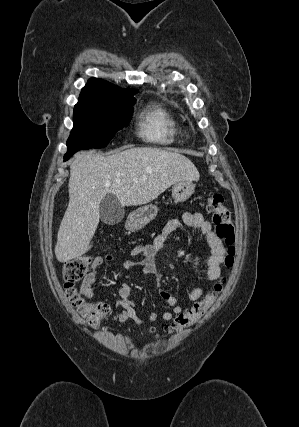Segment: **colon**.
<instances>
[{"label": "colon", "mask_w": 299, "mask_h": 427, "mask_svg": "<svg viewBox=\"0 0 299 427\" xmlns=\"http://www.w3.org/2000/svg\"><path fill=\"white\" fill-rule=\"evenodd\" d=\"M206 209L212 214L216 226V234L227 246L223 263L231 268L235 257V225L230 208L225 206L224 198L219 193L209 194L206 198ZM91 266L89 256H78L65 262L63 279L66 295L79 315L93 328L99 327L102 319L109 312L105 303L85 301L76 288V284L86 276ZM222 291V284H216L200 301H197L186 312L179 314L176 319L165 327L167 332H175L190 327L199 322L214 304Z\"/></svg>", "instance_id": "colon-1"}]
</instances>
